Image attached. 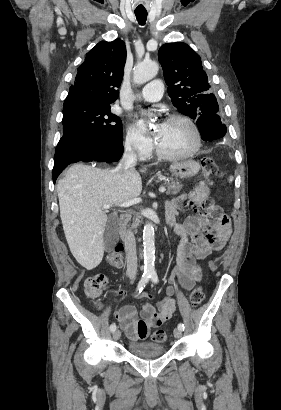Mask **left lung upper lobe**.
Wrapping results in <instances>:
<instances>
[{"mask_svg": "<svg viewBox=\"0 0 281 410\" xmlns=\"http://www.w3.org/2000/svg\"><path fill=\"white\" fill-rule=\"evenodd\" d=\"M168 94L173 105L192 119L216 114L219 107L210 93L201 58L186 43H167L158 51Z\"/></svg>", "mask_w": 281, "mask_h": 410, "instance_id": "5c2ea615", "label": "left lung upper lobe"}]
</instances>
